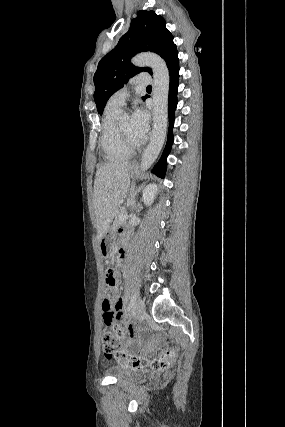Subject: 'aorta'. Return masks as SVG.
<instances>
[{"label":"aorta","mask_w":285,"mask_h":427,"mask_svg":"<svg viewBox=\"0 0 285 427\" xmlns=\"http://www.w3.org/2000/svg\"><path fill=\"white\" fill-rule=\"evenodd\" d=\"M137 67L149 66L153 71V130L146 147L140 168L146 171L157 159L166 138L168 121L169 70L165 61L154 53H140L132 58Z\"/></svg>","instance_id":"obj_1"}]
</instances>
